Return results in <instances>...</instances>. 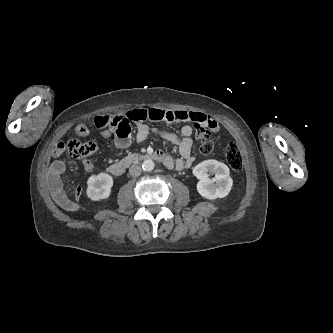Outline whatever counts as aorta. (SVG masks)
<instances>
[{"mask_svg":"<svg viewBox=\"0 0 333 333\" xmlns=\"http://www.w3.org/2000/svg\"><path fill=\"white\" fill-rule=\"evenodd\" d=\"M154 167H155V164L151 159H146L142 163V168L146 172L152 171L154 169Z\"/></svg>","mask_w":333,"mask_h":333,"instance_id":"obj_1","label":"aorta"}]
</instances>
